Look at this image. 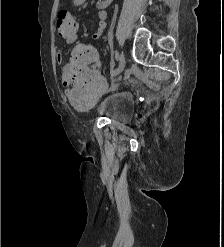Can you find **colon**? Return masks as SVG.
<instances>
[{"instance_id": "1", "label": "colon", "mask_w": 224, "mask_h": 247, "mask_svg": "<svg viewBox=\"0 0 224 247\" xmlns=\"http://www.w3.org/2000/svg\"><path fill=\"white\" fill-rule=\"evenodd\" d=\"M77 19L68 11H60L57 17V32L60 37L69 39L77 35ZM98 53L89 43L78 45L66 69L70 83L68 99L77 108L93 106L106 89V80L99 71Z\"/></svg>"}]
</instances>
